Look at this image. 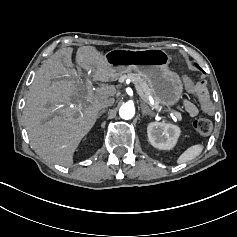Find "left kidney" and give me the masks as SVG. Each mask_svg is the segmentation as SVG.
<instances>
[{
    "mask_svg": "<svg viewBox=\"0 0 237 237\" xmlns=\"http://www.w3.org/2000/svg\"><path fill=\"white\" fill-rule=\"evenodd\" d=\"M147 134L152 146L159 150H169L176 144L180 129L172 124L152 122L147 127Z\"/></svg>",
    "mask_w": 237,
    "mask_h": 237,
    "instance_id": "5707ae66",
    "label": "left kidney"
}]
</instances>
